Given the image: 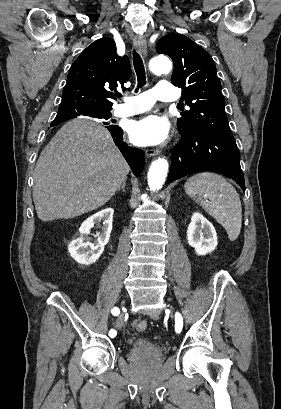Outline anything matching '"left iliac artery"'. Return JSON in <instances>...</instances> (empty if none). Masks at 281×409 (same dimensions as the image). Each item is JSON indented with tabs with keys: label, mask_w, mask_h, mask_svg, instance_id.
<instances>
[{
	"label": "left iliac artery",
	"mask_w": 281,
	"mask_h": 409,
	"mask_svg": "<svg viewBox=\"0 0 281 409\" xmlns=\"http://www.w3.org/2000/svg\"><path fill=\"white\" fill-rule=\"evenodd\" d=\"M183 326V320L182 317L179 313H176L175 315V330L177 333H179L182 330Z\"/></svg>",
	"instance_id": "left-iliac-artery-1"
}]
</instances>
